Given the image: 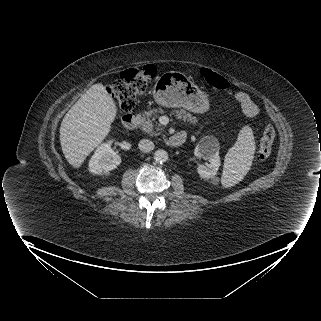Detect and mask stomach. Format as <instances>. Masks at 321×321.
<instances>
[{"label":"stomach","mask_w":321,"mask_h":321,"mask_svg":"<svg viewBox=\"0 0 321 321\" xmlns=\"http://www.w3.org/2000/svg\"><path fill=\"white\" fill-rule=\"evenodd\" d=\"M153 97L158 105L164 107H183L193 113L209 110L207 95L178 71L165 72L158 78Z\"/></svg>","instance_id":"stomach-1"}]
</instances>
